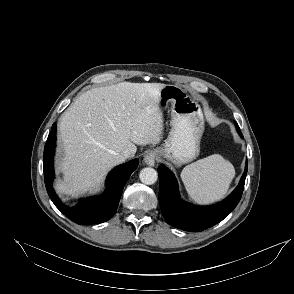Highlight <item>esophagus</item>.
<instances>
[{
	"mask_svg": "<svg viewBox=\"0 0 294 294\" xmlns=\"http://www.w3.org/2000/svg\"><path fill=\"white\" fill-rule=\"evenodd\" d=\"M155 158H156V153L154 151H149L144 156V162L149 166H153L155 163Z\"/></svg>",
	"mask_w": 294,
	"mask_h": 294,
	"instance_id": "1",
	"label": "esophagus"
}]
</instances>
